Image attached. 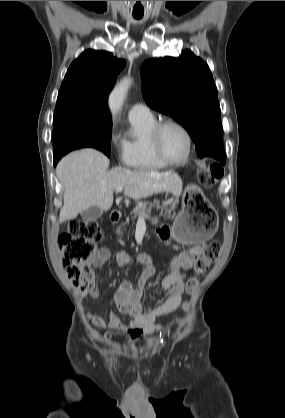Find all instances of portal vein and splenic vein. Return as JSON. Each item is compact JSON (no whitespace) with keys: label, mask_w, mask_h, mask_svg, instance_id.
Wrapping results in <instances>:
<instances>
[{"label":"portal vein and splenic vein","mask_w":285,"mask_h":418,"mask_svg":"<svg viewBox=\"0 0 285 418\" xmlns=\"http://www.w3.org/2000/svg\"><path fill=\"white\" fill-rule=\"evenodd\" d=\"M115 191H116V193H120V192H122V191H123V187H117V188L115 189ZM144 218H145V215H141V216L139 217V221H140V222H143V221H144Z\"/></svg>","instance_id":"1"}]
</instances>
